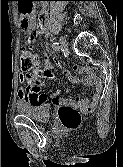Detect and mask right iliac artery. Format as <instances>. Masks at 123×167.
I'll list each match as a JSON object with an SVG mask.
<instances>
[{
    "label": "right iliac artery",
    "instance_id": "1",
    "mask_svg": "<svg viewBox=\"0 0 123 167\" xmlns=\"http://www.w3.org/2000/svg\"><path fill=\"white\" fill-rule=\"evenodd\" d=\"M52 48H53V50L58 51L60 49L59 43H57V42L52 43Z\"/></svg>",
    "mask_w": 123,
    "mask_h": 167
}]
</instances>
